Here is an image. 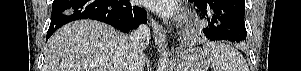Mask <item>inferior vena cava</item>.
Masks as SVG:
<instances>
[{
	"label": "inferior vena cava",
	"instance_id": "obj_1",
	"mask_svg": "<svg viewBox=\"0 0 301 71\" xmlns=\"http://www.w3.org/2000/svg\"><path fill=\"white\" fill-rule=\"evenodd\" d=\"M150 30L146 24H141L131 32L129 37L131 51L127 59L126 71H143L144 50L150 41Z\"/></svg>",
	"mask_w": 301,
	"mask_h": 71
}]
</instances>
